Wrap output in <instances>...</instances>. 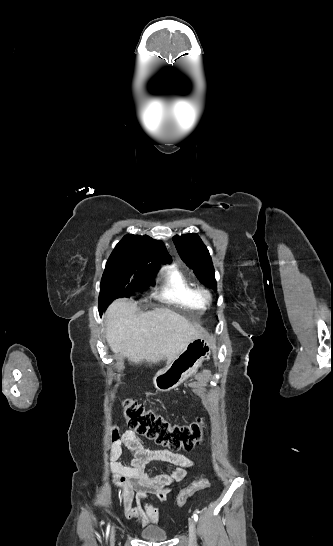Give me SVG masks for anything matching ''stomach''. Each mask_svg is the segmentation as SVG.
I'll return each mask as SVG.
<instances>
[{
    "instance_id": "obj_1",
    "label": "stomach",
    "mask_w": 333,
    "mask_h": 546,
    "mask_svg": "<svg viewBox=\"0 0 333 546\" xmlns=\"http://www.w3.org/2000/svg\"><path fill=\"white\" fill-rule=\"evenodd\" d=\"M211 350V342L205 337L190 341L176 358L156 373L153 379L155 387L160 391L177 387L209 359Z\"/></svg>"
}]
</instances>
